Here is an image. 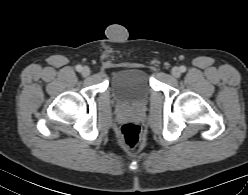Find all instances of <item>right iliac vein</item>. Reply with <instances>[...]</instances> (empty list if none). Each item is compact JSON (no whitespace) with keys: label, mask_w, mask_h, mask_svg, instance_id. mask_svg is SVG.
Wrapping results in <instances>:
<instances>
[{"label":"right iliac vein","mask_w":248,"mask_h":195,"mask_svg":"<svg viewBox=\"0 0 248 195\" xmlns=\"http://www.w3.org/2000/svg\"><path fill=\"white\" fill-rule=\"evenodd\" d=\"M81 73H82V75L85 76V77H86V76H89L90 73H91L90 68H89V67H83Z\"/></svg>","instance_id":"obj_1"}]
</instances>
